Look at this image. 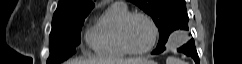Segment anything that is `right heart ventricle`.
Masks as SVG:
<instances>
[{"instance_id": "1", "label": "right heart ventricle", "mask_w": 242, "mask_h": 64, "mask_svg": "<svg viewBox=\"0 0 242 64\" xmlns=\"http://www.w3.org/2000/svg\"><path fill=\"white\" fill-rule=\"evenodd\" d=\"M129 13L126 5L114 3L104 10L87 32V43L98 55L117 58L126 55L118 38L122 18Z\"/></svg>"}]
</instances>
